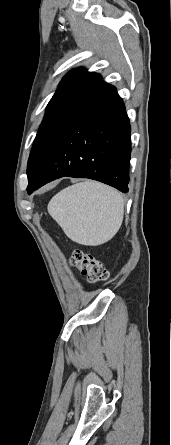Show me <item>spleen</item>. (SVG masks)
I'll return each mask as SVG.
<instances>
[{
  "label": "spleen",
  "mask_w": 171,
  "mask_h": 445,
  "mask_svg": "<svg viewBox=\"0 0 171 445\" xmlns=\"http://www.w3.org/2000/svg\"><path fill=\"white\" fill-rule=\"evenodd\" d=\"M48 212L71 240L97 246L120 229L124 202L114 188L84 181L58 192L50 200Z\"/></svg>",
  "instance_id": "obj_1"
}]
</instances>
